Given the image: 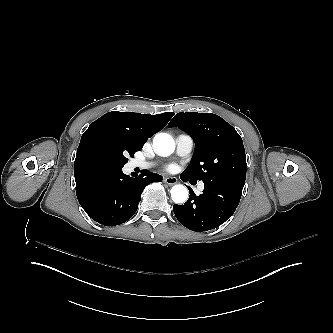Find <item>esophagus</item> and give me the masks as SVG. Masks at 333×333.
Returning <instances> with one entry per match:
<instances>
[{
	"mask_svg": "<svg viewBox=\"0 0 333 333\" xmlns=\"http://www.w3.org/2000/svg\"><path fill=\"white\" fill-rule=\"evenodd\" d=\"M178 179L176 177H166L164 179V182L167 183L168 185H173L176 184Z\"/></svg>",
	"mask_w": 333,
	"mask_h": 333,
	"instance_id": "34e87169",
	"label": "esophagus"
}]
</instances>
